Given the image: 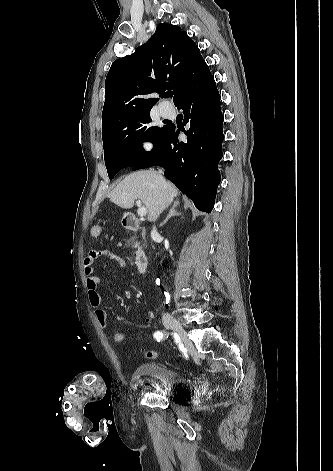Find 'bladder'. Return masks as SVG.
<instances>
[{
  "mask_svg": "<svg viewBox=\"0 0 333 471\" xmlns=\"http://www.w3.org/2000/svg\"><path fill=\"white\" fill-rule=\"evenodd\" d=\"M133 374L155 381L162 395L168 400H180L191 395L192 383L180 372L153 361L137 365Z\"/></svg>",
  "mask_w": 333,
  "mask_h": 471,
  "instance_id": "31cf9c89",
  "label": "bladder"
}]
</instances>
